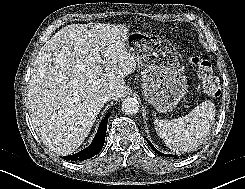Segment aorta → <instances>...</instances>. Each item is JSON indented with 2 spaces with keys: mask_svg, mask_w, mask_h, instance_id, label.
<instances>
[{
  "mask_svg": "<svg viewBox=\"0 0 245 189\" xmlns=\"http://www.w3.org/2000/svg\"><path fill=\"white\" fill-rule=\"evenodd\" d=\"M139 102L135 98L127 97L122 102V111L128 115H134L139 111Z\"/></svg>",
  "mask_w": 245,
  "mask_h": 189,
  "instance_id": "762f6f07",
  "label": "aorta"
}]
</instances>
